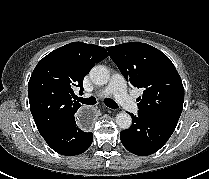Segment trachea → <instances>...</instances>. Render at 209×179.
<instances>
[{
	"label": "trachea",
	"instance_id": "trachea-1",
	"mask_svg": "<svg viewBox=\"0 0 209 179\" xmlns=\"http://www.w3.org/2000/svg\"><path fill=\"white\" fill-rule=\"evenodd\" d=\"M77 100L83 104H87V105H94L96 104V99L94 97H89V98H77ZM104 103L110 107V108H117L118 105L116 104L115 101L110 100V99H106L104 100Z\"/></svg>",
	"mask_w": 209,
	"mask_h": 179
}]
</instances>
